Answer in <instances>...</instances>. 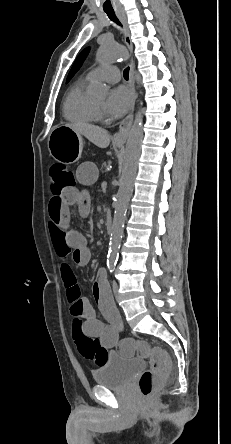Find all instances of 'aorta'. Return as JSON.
I'll list each match as a JSON object with an SVG mask.
<instances>
[{"label": "aorta", "mask_w": 231, "mask_h": 444, "mask_svg": "<svg viewBox=\"0 0 231 444\" xmlns=\"http://www.w3.org/2000/svg\"><path fill=\"white\" fill-rule=\"evenodd\" d=\"M128 57L127 51L114 41L103 42L100 45L96 55L97 61L103 65L111 64L118 60H125L128 59ZM137 80L139 82V77H137ZM92 91L95 97L103 99L107 96L108 88L105 85L97 84L93 87ZM142 114V111L139 110L135 115V119L126 143L111 229L110 248L107 260V263L110 265L114 264L117 260L118 248L120 246L123 234L126 212L133 192L135 173L138 166V159L140 156L143 139Z\"/></svg>", "instance_id": "1"}]
</instances>
